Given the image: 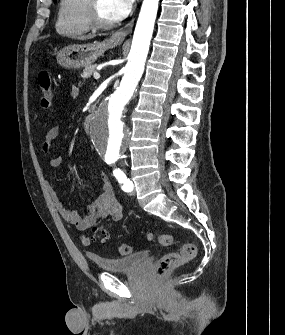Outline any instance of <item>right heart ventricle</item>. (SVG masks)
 Listing matches in <instances>:
<instances>
[{"label":"right heart ventricle","instance_id":"1","mask_svg":"<svg viewBox=\"0 0 285 335\" xmlns=\"http://www.w3.org/2000/svg\"><path fill=\"white\" fill-rule=\"evenodd\" d=\"M91 29L90 1H61L56 23L57 33L79 39Z\"/></svg>","mask_w":285,"mask_h":335}]
</instances>
